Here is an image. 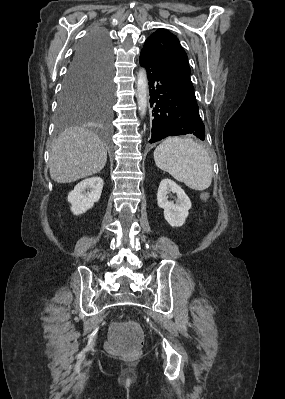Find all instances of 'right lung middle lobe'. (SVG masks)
I'll use <instances>...</instances> for the list:
<instances>
[{
    "instance_id": "dd1d6c3e",
    "label": "right lung middle lobe",
    "mask_w": 285,
    "mask_h": 399,
    "mask_svg": "<svg viewBox=\"0 0 285 399\" xmlns=\"http://www.w3.org/2000/svg\"><path fill=\"white\" fill-rule=\"evenodd\" d=\"M113 96L112 72L68 73L58 101L59 128L88 111H95L108 122Z\"/></svg>"
}]
</instances>
